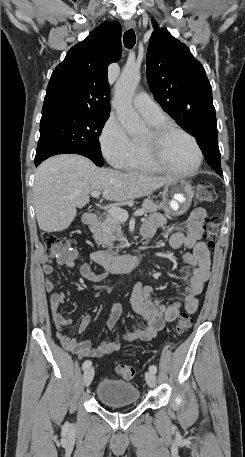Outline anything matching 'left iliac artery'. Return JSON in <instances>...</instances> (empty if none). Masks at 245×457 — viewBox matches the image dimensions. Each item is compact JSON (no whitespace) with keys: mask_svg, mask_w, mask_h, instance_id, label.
I'll use <instances>...</instances> for the list:
<instances>
[{"mask_svg":"<svg viewBox=\"0 0 245 457\" xmlns=\"http://www.w3.org/2000/svg\"><path fill=\"white\" fill-rule=\"evenodd\" d=\"M149 370H150L151 372H153V373H156V372H157V367H156V365H154V364L151 365V366L149 367Z\"/></svg>","mask_w":245,"mask_h":457,"instance_id":"1","label":"left iliac artery"}]
</instances>
